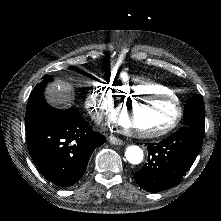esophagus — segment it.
I'll return each mask as SVG.
<instances>
[{
	"instance_id": "1",
	"label": "esophagus",
	"mask_w": 221,
	"mask_h": 221,
	"mask_svg": "<svg viewBox=\"0 0 221 221\" xmlns=\"http://www.w3.org/2000/svg\"><path fill=\"white\" fill-rule=\"evenodd\" d=\"M108 141L109 143L113 144V145H124V141L119 139V138H116L114 136H109L108 137Z\"/></svg>"
}]
</instances>
